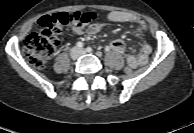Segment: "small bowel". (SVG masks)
Wrapping results in <instances>:
<instances>
[{
    "label": "small bowel",
    "mask_w": 194,
    "mask_h": 133,
    "mask_svg": "<svg viewBox=\"0 0 194 133\" xmlns=\"http://www.w3.org/2000/svg\"><path fill=\"white\" fill-rule=\"evenodd\" d=\"M109 21L112 22H125V23H132L136 25L138 32L141 36H144L148 31V26L145 21L138 15L124 12V11H112L107 15ZM102 28L100 23H95L91 25L88 29L89 33L95 34L98 33ZM110 50H113L118 53H122L125 51V44L121 39H115L111 42V44L107 47ZM152 52L151 45L144 41L141 46V52L139 55L128 54L127 55V64L131 66L133 69L138 68L140 66L145 65L148 60L149 56Z\"/></svg>",
    "instance_id": "small-bowel-1"
}]
</instances>
